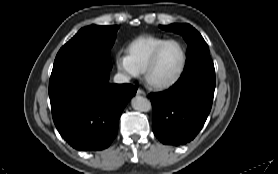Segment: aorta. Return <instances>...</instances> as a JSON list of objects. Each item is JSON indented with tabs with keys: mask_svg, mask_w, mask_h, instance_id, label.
<instances>
[{
	"mask_svg": "<svg viewBox=\"0 0 278 174\" xmlns=\"http://www.w3.org/2000/svg\"><path fill=\"white\" fill-rule=\"evenodd\" d=\"M131 105L134 110L140 112H148L151 109L150 101L142 96H135L134 98H132Z\"/></svg>",
	"mask_w": 278,
	"mask_h": 174,
	"instance_id": "1",
	"label": "aorta"
}]
</instances>
